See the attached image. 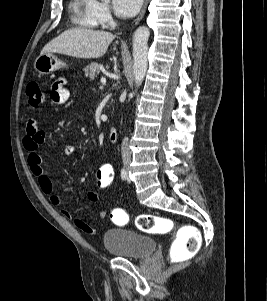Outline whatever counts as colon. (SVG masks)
<instances>
[{"mask_svg": "<svg viewBox=\"0 0 267 301\" xmlns=\"http://www.w3.org/2000/svg\"><path fill=\"white\" fill-rule=\"evenodd\" d=\"M26 93L29 103L38 106L43 102L44 94L36 82L27 85ZM114 182L113 166L103 163L95 174V185L98 192H107L111 189ZM111 220L116 224H125L128 213L125 209L116 208L111 212ZM136 226L139 230L146 233L164 234L173 228L171 220L151 214H140L136 218ZM201 238L198 230L192 226H183L177 230L175 240L171 246L170 256L174 262L185 261L193 257L199 250Z\"/></svg>", "mask_w": 267, "mask_h": 301, "instance_id": "colon-1", "label": "colon"}]
</instances>
